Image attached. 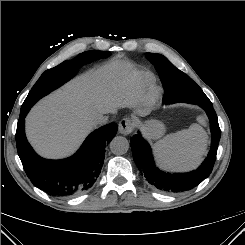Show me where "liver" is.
Wrapping results in <instances>:
<instances>
[{"mask_svg": "<svg viewBox=\"0 0 245 245\" xmlns=\"http://www.w3.org/2000/svg\"><path fill=\"white\" fill-rule=\"evenodd\" d=\"M137 99L132 65L113 60L38 102L26 118L27 138L43 157L69 156L96 126L98 116L134 106Z\"/></svg>", "mask_w": 245, "mask_h": 245, "instance_id": "liver-1", "label": "liver"}]
</instances>
